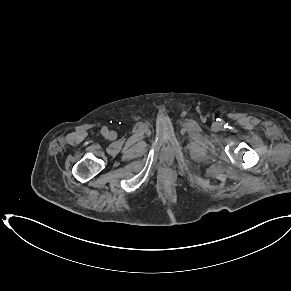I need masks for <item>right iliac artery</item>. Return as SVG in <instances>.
Returning <instances> with one entry per match:
<instances>
[{"instance_id":"obj_1","label":"right iliac artery","mask_w":291,"mask_h":291,"mask_svg":"<svg viewBox=\"0 0 291 291\" xmlns=\"http://www.w3.org/2000/svg\"><path fill=\"white\" fill-rule=\"evenodd\" d=\"M101 132H102L103 134H106V132H107V128L103 127L102 130H101Z\"/></svg>"}]
</instances>
